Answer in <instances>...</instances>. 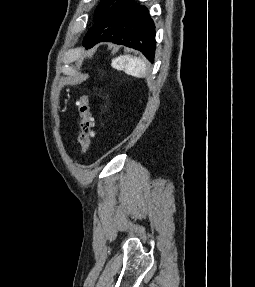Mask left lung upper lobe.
Masks as SVG:
<instances>
[{"mask_svg":"<svg viewBox=\"0 0 255 287\" xmlns=\"http://www.w3.org/2000/svg\"><path fill=\"white\" fill-rule=\"evenodd\" d=\"M114 1L115 0H103L96 11L95 18H99L114 3Z\"/></svg>","mask_w":255,"mask_h":287,"instance_id":"1","label":"left lung upper lobe"}]
</instances>
